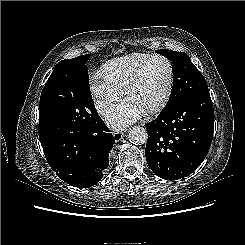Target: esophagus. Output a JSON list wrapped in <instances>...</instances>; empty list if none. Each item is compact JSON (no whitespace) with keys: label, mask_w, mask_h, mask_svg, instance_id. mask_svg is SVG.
Segmentation results:
<instances>
[{"label":"esophagus","mask_w":245,"mask_h":245,"mask_svg":"<svg viewBox=\"0 0 245 245\" xmlns=\"http://www.w3.org/2000/svg\"><path fill=\"white\" fill-rule=\"evenodd\" d=\"M113 137L116 142H119L124 137V133L120 131H116L113 133Z\"/></svg>","instance_id":"34e87169"}]
</instances>
